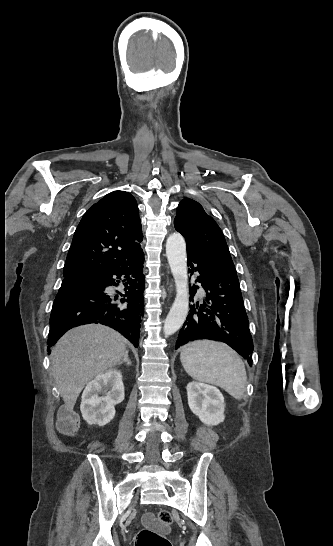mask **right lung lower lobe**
<instances>
[{"mask_svg":"<svg viewBox=\"0 0 333 546\" xmlns=\"http://www.w3.org/2000/svg\"><path fill=\"white\" fill-rule=\"evenodd\" d=\"M143 262L142 252L121 266L65 278L52 306L48 349L69 329L89 323L109 326L138 347L144 315ZM120 283L124 291L110 295L107 287Z\"/></svg>","mask_w":333,"mask_h":546,"instance_id":"obj_1","label":"right lung lower lobe"}]
</instances>
